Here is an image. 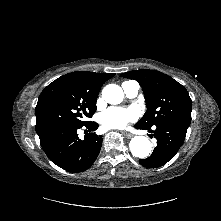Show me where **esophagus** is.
Instances as JSON below:
<instances>
[{"label":"esophagus","mask_w":221,"mask_h":221,"mask_svg":"<svg viewBox=\"0 0 221 221\" xmlns=\"http://www.w3.org/2000/svg\"><path fill=\"white\" fill-rule=\"evenodd\" d=\"M128 138H131L133 135L129 132H124Z\"/></svg>","instance_id":"esophagus-1"}]
</instances>
